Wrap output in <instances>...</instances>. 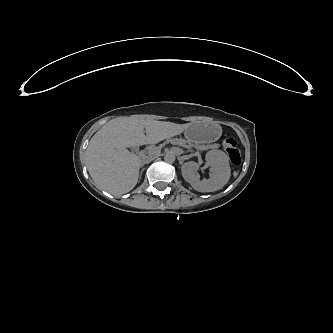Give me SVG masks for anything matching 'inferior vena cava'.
<instances>
[{
    "label": "inferior vena cava",
    "instance_id": "obj_1",
    "mask_svg": "<svg viewBox=\"0 0 333 333\" xmlns=\"http://www.w3.org/2000/svg\"><path fill=\"white\" fill-rule=\"evenodd\" d=\"M153 158H154V157H150V158L146 159L144 162H145V163H149L150 161L153 160Z\"/></svg>",
    "mask_w": 333,
    "mask_h": 333
}]
</instances>
